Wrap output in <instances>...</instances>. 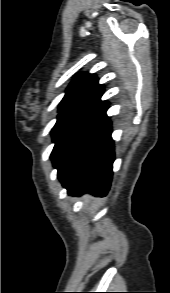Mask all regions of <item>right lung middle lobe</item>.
Segmentation results:
<instances>
[{"label": "right lung middle lobe", "mask_w": 170, "mask_h": 293, "mask_svg": "<svg viewBox=\"0 0 170 293\" xmlns=\"http://www.w3.org/2000/svg\"><path fill=\"white\" fill-rule=\"evenodd\" d=\"M106 108H75L58 115L52 129L54 149L51 154L58 174L63 171L107 118Z\"/></svg>", "instance_id": "right-lung-middle-lobe-1"}]
</instances>
